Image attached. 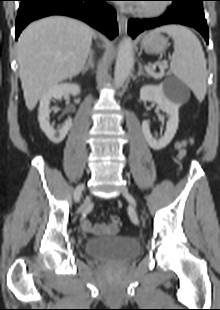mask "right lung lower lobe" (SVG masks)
<instances>
[{
	"instance_id": "1",
	"label": "right lung lower lobe",
	"mask_w": 220,
	"mask_h": 310,
	"mask_svg": "<svg viewBox=\"0 0 220 310\" xmlns=\"http://www.w3.org/2000/svg\"><path fill=\"white\" fill-rule=\"evenodd\" d=\"M16 19V39L33 20L49 15H66L80 19L110 39L118 34L116 12L107 0H20Z\"/></svg>"
}]
</instances>
